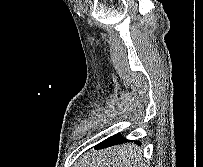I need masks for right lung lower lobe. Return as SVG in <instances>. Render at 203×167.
Listing matches in <instances>:
<instances>
[{
  "label": "right lung lower lobe",
  "instance_id": "obj_1",
  "mask_svg": "<svg viewBox=\"0 0 203 167\" xmlns=\"http://www.w3.org/2000/svg\"><path fill=\"white\" fill-rule=\"evenodd\" d=\"M124 141H127L126 139L122 138V136H120L119 134L118 135H115L113 137H110L106 140H104L103 142H101L100 144H98L96 146L97 149H101V148H106L108 146H112L114 144H118V143H122Z\"/></svg>",
  "mask_w": 203,
  "mask_h": 167
}]
</instances>
